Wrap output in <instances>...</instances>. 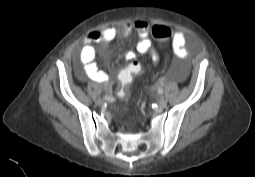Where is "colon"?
Here are the masks:
<instances>
[{"instance_id": "obj_1", "label": "colon", "mask_w": 255, "mask_h": 177, "mask_svg": "<svg viewBox=\"0 0 255 177\" xmlns=\"http://www.w3.org/2000/svg\"><path fill=\"white\" fill-rule=\"evenodd\" d=\"M171 29L164 25H155L152 28V35L158 40H166L171 36ZM143 69L140 62L134 61L125 67L118 75V80L121 85L118 91L119 97H126L129 93V85L133 77L139 74Z\"/></svg>"}]
</instances>
